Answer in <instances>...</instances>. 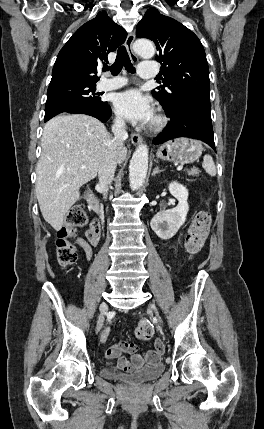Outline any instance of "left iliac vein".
I'll list each match as a JSON object with an SVG mask.
<instances>
[{
    "instance_id": "left-iliac-vein-1",
    "label": "left iliac vein",
    "mask_w": 264,
    "mask_h": 429,
    "mask_svg": "<svg viewBox=\"0 0 264 429\" xmlns=\"http://www.w3.org/2000/svg\"><path fill=\"white\" fill-rule=\"evenodd\" d=\"M151 309H153L154 316L157 317L159 319L160 324L162 325L161 327L165 330L167 327L164 325V319L160 316V313L156 311V309H154L152 306H150Z\"/></svg>"
}]
</instances>
